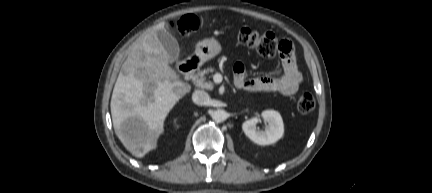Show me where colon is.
I'll return each mask as SVG.
<instances>
[{
	"label": "colon",
	"instance_id": "1",
	"mask_svg": "<svg viewBox=\"0 0 432 193\" xmlns=\"http://www.w3.org/2000/svg\"><path fill=\"white\" fill-rule=\"evenodd\" d=\"M174 27L179 33L186 35L197 29L198 21L194 16L186 15L180 18ZM237 39L241 45L266 58L276 54L288 55L291 52V43L286 40L278 41L271 32H258L245 27L238 31ZM315 104L314 96L305 92L300 96L297 107L300 112L308 113L315 108Z\"/></svg>",
	"mask_w": 432,
	"mask_h": 193
}]
</instances>
